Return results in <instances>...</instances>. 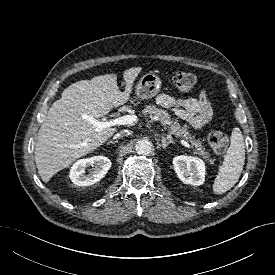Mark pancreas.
Listing matches in <instances>:
<instances>
[{"label": "pancreas", "instance_id": "obj_1", "mask_svg": "<svg viewBox=\"0 0 275 275\" xmlns=\"http://www.w3.org/2000/svg\"><path fill=\"white\" fill-rule=\"evenodd\" d=\"M143 114H149L150 116H155L160 121L161 125L165 128H168V132L176 137H181L192 144L196 149L195 153L200 155L203 159L213 163L211 156L208 152L205 151L202 142L199 139H196L194 135L190 133L186 126H181L178 120L172 119L170 114L163 109L156 107L155 105H147Z\"/></svg>", "mask_w": 275, "mask_h": 275}]
</instances>
